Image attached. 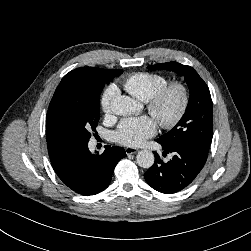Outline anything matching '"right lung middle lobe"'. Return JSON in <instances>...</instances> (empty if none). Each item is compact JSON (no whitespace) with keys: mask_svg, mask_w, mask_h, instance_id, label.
I'll return each mask as SVG.
<instances>
[{"mask_svg":"<svg viewBox=\"0 0 251 251\" xmlns=\"http://www.w3.org/2000/svg\"><path fill=\"white\" fill-rule=\"evenodd\" d=\"M122 70L92 69L66 78L58 120L72 143H88L100 118V94Z\"/></svg>","mask_w":251,"mask_h":251,"instance_id":"dd1d6c3e","label":"right lung middle lobe"}]
</instances>
